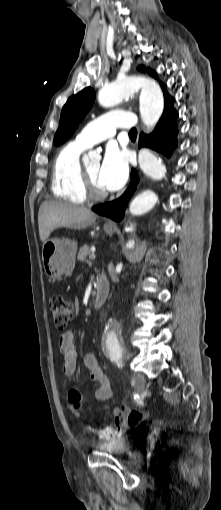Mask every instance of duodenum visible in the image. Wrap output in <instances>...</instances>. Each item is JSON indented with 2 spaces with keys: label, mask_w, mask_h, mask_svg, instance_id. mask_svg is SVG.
I'll return each instance as SVG.
<instances>
[{
  "label": "duodenum",
  "mask_w": 221,
  "mask_h": 510,
  "mask_svg": "<svg viewBox=\"0 0 221 510\" xmlns=\"http://www.w3.org/2000/svg\"><path fill=\"white\" fill-rule=\"evenodd\" d=\"M108 291H109L108 281L106 277L101 274L97 279L96 292L92 301V306L94 308H99L104 304L108 295Z\"/></svg>",
  "instance_id": "obj_1"
}]
</instances>
